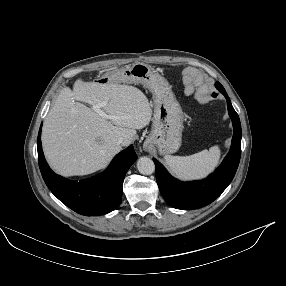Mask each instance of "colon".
I'll return each instance as SVG.
<instances>
[{"instance_id":"1","label":"colon","mask_w":286,"mask_h":286,"mask_svg":"<svg viewBox=\"0 0 286 286\" xmlns=\"http://www.w3.org/2000/svg\"><path fill=\"white\" fill-rule=\"evenodd\" d=\"M190 89V86L189 85H186V90H189Z\"/></svg>"}]
</instances>
